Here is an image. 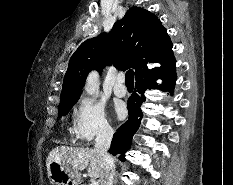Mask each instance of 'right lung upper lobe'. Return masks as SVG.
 <instances>
[{
    "instance_id": "right-lung-upper-lobe-1",
    "label": "right lung upper lobe",
    "mask_w": 233,
    "mask_h": 185,
    "mask_svg": "<svg viewBox=\"0 0 233 185\" xmlns=\"http://www.w3.org/2000/svg\"><path fill=\"white\" fill-rule=\"evenodd\" d=\"M172 42L161 21L151 12L134 7L117 21L109 34L84 41L70 58L63 81L60 103L75 101L82 93L89 71L101 72L113 64L135 69V76L148 70L150 63H165L174 58Z\"/></svg>"
}]
</instances>
